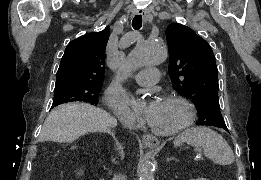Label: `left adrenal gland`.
<instances>
[{
    "instance_id": "a2214340",
    "label": "left adrenal gland",
    "mask_w": 261,
    "mask_h": 180,
    "mask_svg": "<svg viewBox=\"0 0 261 180\" xmlns=\"http://www.w3.org/2000/svg\"><path fill=\"white\" fill-rule=\"evenodd\" d=\"M170 160H175V158H173V156H171V158H168V162H170Z\"/></svg>"
}]
</instances>
